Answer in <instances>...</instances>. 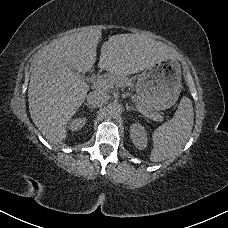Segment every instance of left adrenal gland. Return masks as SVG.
Here are the masks:
<instances>
[{
  "label": "left adrenal gland",
  "mask_w": 228,
  "mask_h": 228,
  "mask_svg": "<svg viewBox=\"0 0 228 228\" xmlns=\"http://www.w3.org/2000/svg\"><path fill=\"white\" fill-rule=\"evenodd\" d=\"M126 109H127L128 111H130V110H132V111H137L136 108H134L133 106H128V105H126Z\"/></svg>",
  "instance_id": "left-adrenal-gland-1"
}]
</instances>
